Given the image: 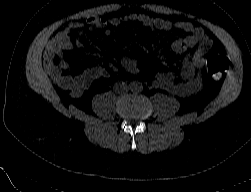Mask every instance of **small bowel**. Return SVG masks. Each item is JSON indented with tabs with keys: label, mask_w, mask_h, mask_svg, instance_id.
Wrapping results in <instances>:
<instances>
[{
	"label": "small bowel",
	"mask_w": 251,
	"mask_h": 192,
	"mask_svg": "<svg viewBox=\"0 0 251 192\" xmlns=\"http://www.w3.org/2000/svg\"><path fill=\"white\" fill-rule=\"evenodd\" d=\"M198 41H200L202 43V47L196 52L195 57H194V61H195V63H199L202 60V58L204 57L205 53H206V46H205V43H204V41H203V39L201 37L189 40V41L184 42V43L183 42L182 43H177L175 45V48L178 51L183 50L187 45L193 44V43L198 42ZM60 44H61L62 47H68L69 44H68L67 38L64 37L62 39V41L60 42ZM125 63H126V65H128L130 67H133L136 64V59H135V57L133 55L127 56L126 60H125ZM158 77H159V79H162V80L174 79L172 76L166 75L164 73L159 74Z\"/></svg>",
	"instance_id": "c3829d8e"
}]
</instances>
